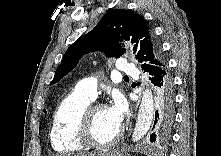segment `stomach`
I'll list each match as a JSON object with an SVG mask.
<instances>
[{"mask_svg":"<svg viewBox=\"0 0 221 156\" xmlns=\"http://www.w3.org/2000/svg\"><path fill=\"white\" fill-rule=\"evenodd\" d=\"M104 156H122V155L118 151H112V152L106 153Z\"/></svg>","mask_w":221,"mask_h":156,"instance_id":"obj_1","label":"stomach"}]
</instances>
